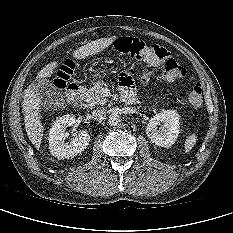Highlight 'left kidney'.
Segmentation results:
<instances>
[{"label": "left kidney", "instance_id": "1", "mask_svg": "<svg viewBox=\"0 0 233 233\" xmlns=\"http://www.w3.org/2000/svg\"><path fill=\"white\" fill-rule=\"evenodd\" d=\"M160 123H163L160 127ZM148 138L157 146H172L179 135V114L175 110H163L153 116L147 126Z\"/></svg>", "mask_w": 233, "mask_h": 233}]
</instances>
